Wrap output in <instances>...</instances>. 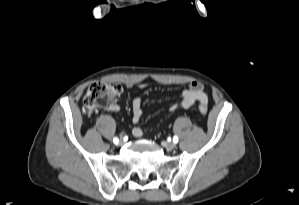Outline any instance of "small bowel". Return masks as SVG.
Instances as JSON below:
<instances>
[{"label":"small bowel","mask_w":299,"mask_h":205,"mask_svg":"<svg viewBox=\"0 0 299 205\" xmlns=\"http://www.w3.org/2000/svg\"><path fill=\"white\" fill-rule=\"evenodd\" d=\"M140 87L144 88L145 84L140 85ZM196 102L204 103L207 105L208 97L203 90V85L200 82L193 81L189 84V87L183 90V92L181 93V97L178 104H172L169 110L171 112L175 111L178 105L181 106L182 108L187 109L190 108ZM142 107H143L142 97L138 96L134 98L132 101V121L136 126L132 129V134L134 137L137 138L141 137L143 134L142 129L139 126H137V124L139 123L143 115ZM108 109L111 111H118L119 106L113 104L110 107H108Z\"/></svg>","instance_id":"c3829d8e"}]
</instances>
